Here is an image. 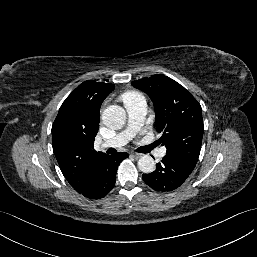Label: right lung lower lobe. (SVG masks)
<instances>
[{"label": "right lung lower lobe", "mask_w": 257, "mask_h": 257, "mask_svg": "<svg viewBox=\"0 0 257 257\" xmlns=\"http://www.w3.org/2000/svg\"><path fill=\"white\" fill-rule=\"evenodd\" d=\"M128 157L126 152L105 155L97 163L94 173L88 183L79 192L89 199H100L109 193L116 181V171L119 164Z\"/></svg>", "instance_id": "98d812e1"}]
</instances>
